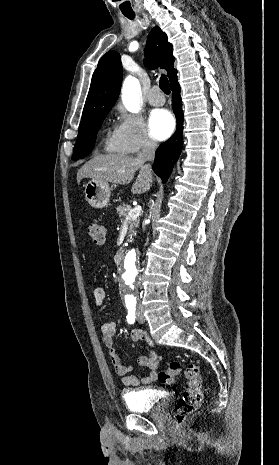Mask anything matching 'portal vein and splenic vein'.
I'll use <instances>...</instances> for the list:
<instances>
[{"label":"portal vein and splenic vein","mask_w":279,"mask_h":465,"mask_svg":"<svg viewBox=\"0 0 279 465\" xmlns=\"http://www.w3.org/2000/svg\"><path fill=\"white\" fill-rule=\"evenodd\" d=\"M142 211V208L140 205H137L135 206L132 210H130V212L128 213L127 215V220H131V219H136L139 217L140 213Z\"/></svg>","instance_id":"18ae733b"}]
</instances>
